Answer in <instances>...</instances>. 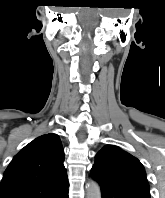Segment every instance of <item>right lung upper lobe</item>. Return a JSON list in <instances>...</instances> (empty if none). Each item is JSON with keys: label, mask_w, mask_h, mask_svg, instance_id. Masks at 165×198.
Masks as SVG:
<instances>
[{"label": "right lung upper lobe", "mask_w": 165, "mask_h": 198, "mask_svg": "<svg viewBox=\"0 0 165 198\" xmlns=\"http://www.w3.org/2000/svg\"><path fill=\"white\" fill-rule=\"evenodd\" d=\"M58 135H42L14 156L0 186V198H59L68 190Z\"/></svg>", "instance_id": "1"}]
</instances>
